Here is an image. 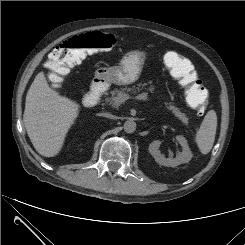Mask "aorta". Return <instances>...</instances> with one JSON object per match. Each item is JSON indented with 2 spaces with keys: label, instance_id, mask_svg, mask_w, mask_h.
Returning a JSON list of instances; mask_svg holds the SVG:
<instances>
[{
  "label": "aorta",
  "instance_id": "1",
  "mask_svg": "<svg viewBox=\"0 0 245 245\" xmlns=\"http://www.w3.org/2000/svg\"><path fill=\"white\" fill-rule=\"evenodd\" d=\"M136 130V123L133 120H127L124 123V131L126 133H133Z\"/></svg>",
  "mask_w": 245,
  "mask_h": 245
}]
</instances>
